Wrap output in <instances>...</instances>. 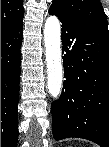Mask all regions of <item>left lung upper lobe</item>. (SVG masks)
Masks as SVG:
<instances>
[{
	"label": "left lung upper lobe",
	"mask_w": 109,
	"mask_h": 147,
	"mask_svg": "<svg viewBox=\"0 0 109 147\" xmlns=\"http://www.w3.org/2000/svg\"><path fill=\"white\" fill-rule=\"evenodd\" d=\"M50 9L109 37L108 21L100 0H53ZM64 82L68 85L70 93L77 92L81 86L80 74L74 71Z\"/></svg>",
	"instance_id": "5c2ea615"
}]
</instances>
